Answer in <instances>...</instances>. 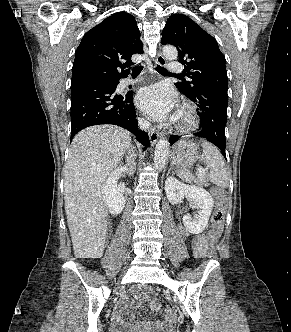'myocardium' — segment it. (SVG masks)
Wrapping results in <instances>:
<instances>
[{
  "mask_svg": "<svg viewBox=\"0 0 291 332\" xmlns=\"http://www.w3.org/2000/svg\"><path fill=\"white\" fill-rule=\"evenodd\" d=\"M199 124L196 107L191 103H184L176 114L175 127L179 132L193 131Z\"/></svg>",
  "mask_w": 291,
  "mask_h": 332,
  "instance_id": "1",
  "label": "myocardium"
}]
</instances>
